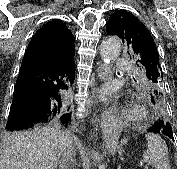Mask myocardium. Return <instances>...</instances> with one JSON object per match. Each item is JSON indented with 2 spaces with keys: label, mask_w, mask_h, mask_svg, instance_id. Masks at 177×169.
<instances>
[{
  "label": "myocardium",
  "mask_w": 177,
  "mask_h": 169,
  "mask_svg": "<svg viewBox=\"0 0 177 169\" xmlns=\"http://www.w3.org/2000/svg\"><path fill=\"white\" fill-rule=\"evenodd\" d=\"M144 117L145 112L139 107H133L126 114V118L133 123L140 122L141 120L144 119Z\"/></svg>",
  "instance_id": "1"
}]
</instances>
